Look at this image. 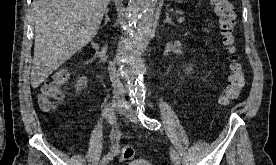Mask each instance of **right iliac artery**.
Wrapping results in <instances>:
<instances>
[{"label": "right iliac artery", "instance_id": "right-iliac-artery-1", "mask_svg": "<svg viewBox=\"0 0 276 165\" xmlns=\"http://www.w3.org/2000/svg\"><path fill=\"white\" fill-rule=\"evenodd\" d=\"M104 116L112 125L113 136L118 141V139L120 138V131L118 130L116 118L109 107L104 108ZM117 149V144H114L111 151L102 158L101 163L108 162L109 160L113 159V157L117 154Z\"/></svg>", "mask_w": 276, "mask_h": 165}]
</instances>
